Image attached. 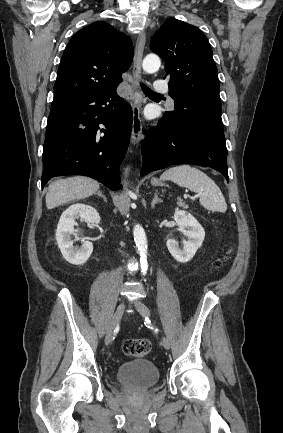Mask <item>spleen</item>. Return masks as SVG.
<instances>
[{"instance_id": "obj_1", "label": "spleen", "mask_w": 283, "mask_h": 433, "mask_svg": "<svg viewBox=\"0 0 283 433\" xmlns=\"http://www.w3.org/2000/svg\"><path fill=\"white\" fill-rule=\"evenodd\" d=\"M160 180H173L180 186H186L193 192H199L200 204L207 210H218V212L227 210L226 200L219 186L199 168H194L190 164L172 166L161 174Z\"/></svg>"}]
</instances>
